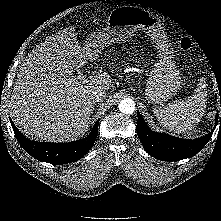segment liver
I'll return each instance as SVG.
<instances>
[{"mask_svg": "<svg viewBox=\"0 0 221 221\" xmlns=\"http://www.w3.org/2000/svg\"><path fill=\"white\" fill-rule=\"evenodd\" d=\"M66 28L37 46L25 58L12 91L11 117L27 137L65 142L83 134L94 106L90 94L109 90L112 79L100 73L87 82L70 81L74 68L97 57L78 45Z\"/></svg>", "mask_w": 221, "mask_h": 221, "instance_id": "obj_1", "label": "liver"}]
</instances>
